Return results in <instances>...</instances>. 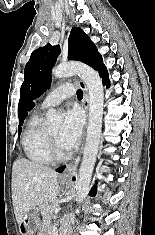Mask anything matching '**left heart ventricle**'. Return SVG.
<instances>
[{
    "label": "left heart ventricle",
    "instance_id": "b2bd125f",
    "mask_svg": "<svg viewBox=\"0 0 155 235\" xmlns=\"http://www.w3.org/2000/svg\"><path fill=\"white\" fill-rule=\"evenodd\" d=\"M61 127L60 126H55L50 129L51 133L54 135L56 138V141L58 143V146L60 147L61 150L65 151V148L62 146L59 140V133H60Z\"/></svg>",
    "mask_w": 155,
    "mask_h": 235
}]
</instances>
